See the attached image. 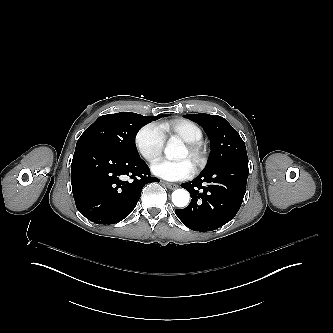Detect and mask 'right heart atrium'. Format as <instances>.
Segmentation results:
<instances>
[{
	"label": "right heart atrium",
	"mask_w": 333,
	"mask_h": 333,
	"mask_svg": "<svg viewBox=\"0 0 333 333\" xmlns=\"http://www.w3.org/2000/svg\"><path fill=\"white\" fill-rule=\"evenodd\" d=\"M165 137L155 124L144 126L135 137V147L141 157L152 167L162 156Z\"/></svg>",
	"instance_id": "d8ad5b80"
}]
</instances>
